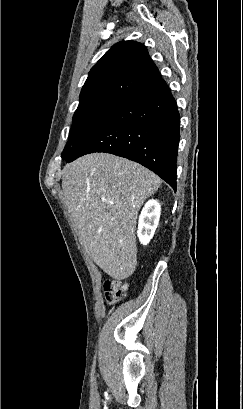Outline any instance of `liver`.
<instances>
[{"mask_svg":"<svg viewBox=\"0 0 243 409\" xmlns=\"http://www.w3.org/2000/svg\"><path fill=\"white\" fill-rule=\"evenodd\" d=\"M62 190L81 244L116 280L137 264L136 219L144 201L160 187L150 170L108 153L85 155L62 171Z\"/></svg>","mask_w":243,"mask_h":409,"instance_id":"liver-1","label":"liver"}]
</instances>
